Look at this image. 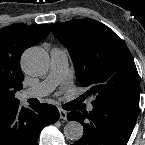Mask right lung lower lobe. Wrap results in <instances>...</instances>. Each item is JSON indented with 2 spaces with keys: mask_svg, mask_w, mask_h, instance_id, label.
<instances>
[{
  "mask_svg": "<svg viewBox=\"0 0 145 145\" xmlns=\"http://www.w3.org/2000/svg\"><path fill=\"white\" fill-rule=\"evenodd\" d=\"M59 119L58 109L46 103L31 109L19 103L0 109V145H37L43 127Z\"/></svg>",
  "mask_w": 145,
  "mask_h": 145,
  "instance_id": "right-lung-lower-lobe-1",
  "label": "right lung lower lobe"
}]
</instances>
